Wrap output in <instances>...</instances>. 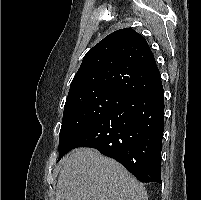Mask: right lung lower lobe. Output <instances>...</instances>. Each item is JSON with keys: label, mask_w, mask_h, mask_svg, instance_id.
<instances>
[{"label": "right lung lower lobe", "mask_w": 201, "mask_h": 200, "mask_svg": "<svg viewBox=\"0 0 201 200\" xmlns=\"http://www.w3.org/2000/svg\"><path fill=\"white\" fill-rule=\"evenodd\" d=\"M162 82L129 97L80 131L65 147H91L120 162L141 182L161 181Z\"/></svg>", "instance_id": "98d812e1"}]
</instances>
